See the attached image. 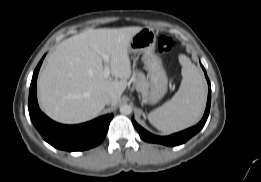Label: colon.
<instances>
[{
	"label": "colon",
	"mask_w": 261,
	"mask_h": 182,
	"mask_svg": "<svg viewBox=\"0 0 261 182\" xmlns=\"http://www.w3.org/2000/svg\"><path fill=\"white\" fill-rule=\"evenodd\" d=\"M157 45L159 53L166 55L173 49L175 42L172 38L161 35L158 38Z\"/></svg>",
	"instance_id": "colon-1"
}]
</instances>
